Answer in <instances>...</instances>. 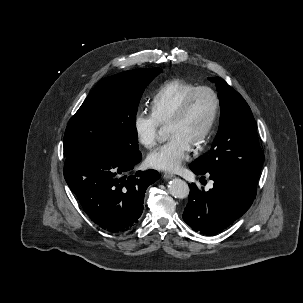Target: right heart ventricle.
<instances>
[{
    "instance_id": "e07e8e85",
    "label": "right heart ventricle",
    "mask_w": 303,
    "mask_h": 303,
    "mask_svg": "<svg viewBox=\"0 0 303 303\" xmlns=\"http://www.w3.org/2000/svg\"><path fill=\"white\" fill-rule=\"evenodd\" d=\"M195 84L182 79H172L163 83L154 93L150 102L151 113L160 124H166L183 98Z\"/></svg>"
}]
</instances>
